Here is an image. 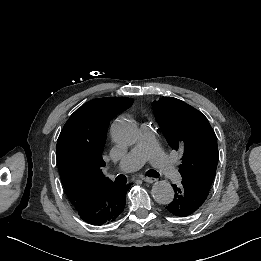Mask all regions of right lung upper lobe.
Listing matches in <instances>:
<instances>
[{
    "instance_id": "right-lung-upper-lobe-1",
    "label": "right lung upper lobe",
    "mask_w": 261,
    "mask_h": 261,
    "mask_svg": "<svg viewBox=\"0 0 261 261\" xmlns=\"http://www.w3.org/2000/svg\"><path fill=\"white\" fill-rule=\"evenodd\" d=\"M131 98L91 100L77 109L65 123L57 140V162L66 194L74 207L98 187L112 182L101 167L110 121L133 104Z\"/></svg>"
}]
</instances>
